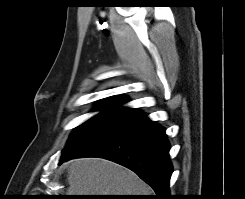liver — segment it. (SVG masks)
Returning a JSON list of instances; mask_svg holds the SVG:
<instances>
[{
    "mask_svg": "<svg viewBox=\"0 0 245 199\" xmlns=\"http://www.w3.org/2000/svg\"><path fill=\"white\" fill-rule=\"evenodd\" d=\"M68 195H151L134 172L101 158L76 159L68 165Z\"/></svg>",
    "mask_w": 245,
    "mask_h": 199,
    "instance_id": "1",
    "label": "liver"
}]
</instances>
